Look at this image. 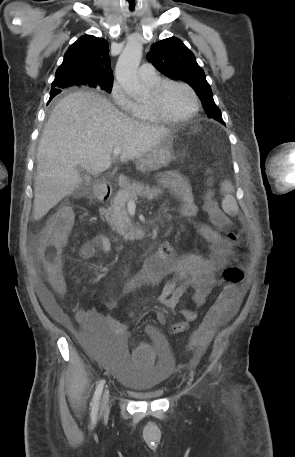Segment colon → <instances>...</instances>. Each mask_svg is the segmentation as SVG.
<instances>
[{
	"instance_id": "1",
	"label": "colon",
	"mask_w": 295,
	"mask_h": 457,
	"mask_svg": "<svg viewBox=\"0 0 295 457\" xmlns=\"http://www.w3.org/2000/svg\"><path fill=\"white\" fill-rule=\"evenodd\" d=\"M204 210L213 224L221 228H230V219L220 209L211 193L205 197ZM72 222V211L69 208L60 209L48 222L37 246L43 268L52 286L60 294L66 293V284L62 276V250ZM228 236L235 240L237 232L229 230ZM222 278L225 286L191 335L189 340L191 348L203 349L210 341L216 326L233 312L238 304L241 295L240 285L244 279L243 269L233 261L232 265L224 269ZM133 355L136 366H153L157 357L156 351H152V346H133Z\"/></svg>"
}]
</instances>
